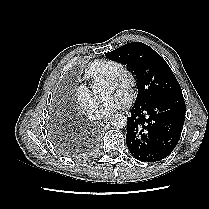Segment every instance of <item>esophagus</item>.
<instances>
[{
	"instance_id": "esophagus-1",
	"label": "esophagus",
	"mask_w": 209,
	"mask_h": 209,
	"mask_svg": "<svg viewBox=\"0 0 209 209\" xmlns=\"http://www.w3.org/2000/svg\"><path fill=\"white\" fill-rule=\"evenodd\" d=\"M108 121H109V119H108V118H105V119H103V120L100 122V124H101L102 126H104L105 124L108 123Z\"/></svg>"
}]
</instances>
